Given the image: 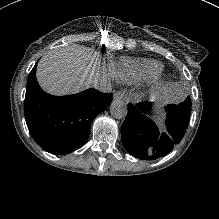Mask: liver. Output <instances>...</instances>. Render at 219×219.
<instances>
[{"label":"liver","instance_id":"6515ba94","mask_svg":"<svg viewBox=\"0 0 219 219\" xmlns=\"http://www.w3.org/2000/svg\"><path fill=\"white\" fill-rule=\"evenodd\" d=\"M41 87L53 94L64 95L92 87L101 78L97 55L87 48H60L44 56L37 67Z\"/></svg>","mask_w":219,"mask_h":219}]
</instances>
